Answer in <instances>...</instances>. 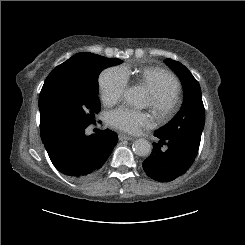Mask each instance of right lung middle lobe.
<instances>
[{
	"label": "right lung middle lobe",
	"mask_w": 245,
	"mask_h": 245,
	"mask_svg": "<svg viewBox=\"0 0 245 245\" xmlns=\"http://www.w3.org/2000/svg\"><path fill=\"white\" fill-rule=\"evenodd\" d=\"M68 65L50 74L39 97L42 142L63 131L86 128L101 109L98 76L103 68L121 63L92 53H78Z\"/></svg>",
	"instance_id": "obj_1"
}]
</instances>
